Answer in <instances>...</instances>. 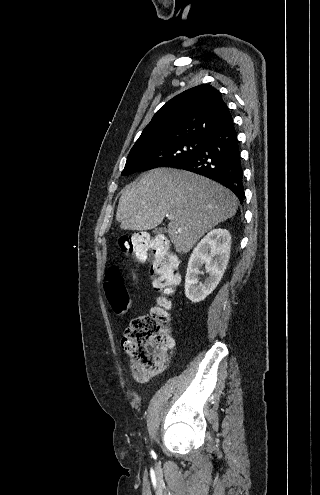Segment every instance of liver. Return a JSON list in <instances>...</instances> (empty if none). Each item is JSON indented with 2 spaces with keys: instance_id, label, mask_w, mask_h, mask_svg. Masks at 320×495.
I'll use <instances>...</instances> for the list:
<instances>
[{
  "instance_id": "1",
  "label": "liver",
  "mask_w": 320,
  "mask_h": 495,
  "mask_svg": "<svg viewBox=\"0 0 320 495\" xmlns=\"http://www.w3.org/2000/svg\"><path fill=\"white\" fill-rule=\"evenodd\" d=\"M237 208L236 196L222 185L190 172L158 168L124 188L116 220L122 230L146 231L171 214L169 238L178 253H186Z\"/></svg>"
}]
</instances>
